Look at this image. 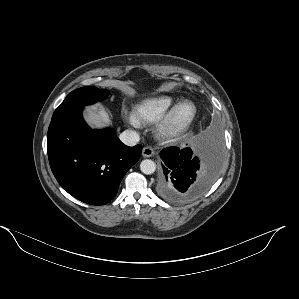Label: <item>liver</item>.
Listing matches in <instances>:
<instances>
[{
  "mask_svg": "<svg viewBox=\"0 0 299 299\" xmlns=\"http://www.w3.org/2000/svg\"><path fill=\"white\" fill-rule=\"evenodd\" d=\"M85 120L92 127L101 129L111 124V118L105 108L101 105L87 107Z\"/></svg>",
  "mask_w": 299,
  "mask_h": 299,
  "instance_id": "liver-1",
  "label": "liver"
}]
</instances>
